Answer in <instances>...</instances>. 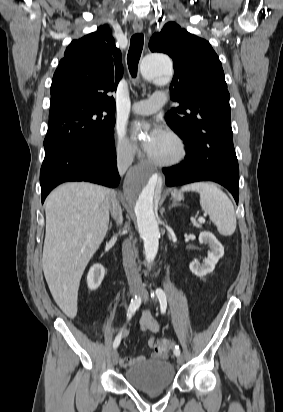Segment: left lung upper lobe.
<instances>
[{
	"label": "left lung upper lobe",
	"mask_w": 283,
	"mask_h": 412,
	"mask_svg": "<svg viewBox=\"0 0 283 412\" xmlns=\"http://www.w3.org/2000/svg\"><path fill=\"white\" fill-rule=\"evenodd\" d=\"M149 49L173 59L170 91L179 106L166 115L167 124L182 139L195 136L223 169L239 173L230 122V96L221 62L209 42L169 22L151 37Z\"/></svg>",
	"instance_id": "obj_1"
}]
</instances>
